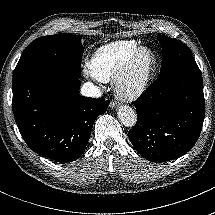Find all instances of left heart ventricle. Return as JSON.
Masks as SVG:
<instances>
[{"instance_id":"1","label":"left heart ventricle","mask_w":215,"mask_h":215,"mask_svg":"<svg viewBox=\"0 0 215 215\" xmlns=\"http://www.w3.org/2000/svg\"><path fill=\"white\" fill-rule=\"evenodd\" d=\"M149 56H150V54H149V52H144L142 55H141V58H140V60L141 61H145V60H147L148 58H149Z\"/></svg>"}]
</instances>
